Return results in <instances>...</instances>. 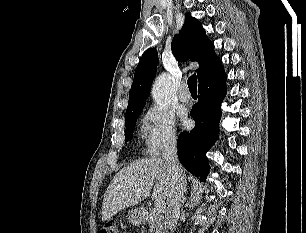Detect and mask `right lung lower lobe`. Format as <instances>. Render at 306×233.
Instances as JSON below:
<instances>
[{
	"instance_id": "98d812e1",
	"label": "right lung lower lobe",
	"mask_w": 306,
	"mask_h": 233,
	"mask_svg": "<svg viewBox=\"0 0 306 233\" xmlns=\"http://www.w3.org/2000/svg\"><path fill=\"white\" fill-rule=\"evenodd\" d=\"M199 100L191 110L195 127L182 132L177 140L181 164L193 175L205 181L209 172L206 152L218 137L221 102L226 94V74L223 67L199 81Z\"/></svg>"
}]
</instances>
